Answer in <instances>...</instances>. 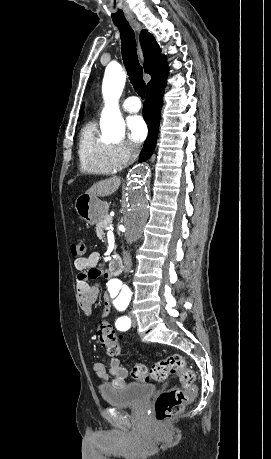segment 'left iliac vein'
<instances>
[{"instance_id":"4c4485c4","label":"left iliac vein","mask_w":271,"mask_h":459,"mask_svg":"<svg viewBox=\"0 0 271 459\" xmlns=\"http://www.w3.org/2000/svg\"><path fill=\"white\" fill-rule=\"evenodd\" d=\"M129 317L131 318V322H132V325L135 326L136 325V319H135V316L132 312L129 313Z\"/></svg>"}]
</instances>
